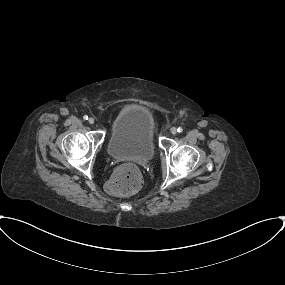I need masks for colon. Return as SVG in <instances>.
<instances>
[{
	"mask_svg": "<svg viewBox=\"0 0 285 285\" xmlns=\"http://www.w3.org/2000/svg\"><path fill=\"white\" fill-rule=\"evenodd\" d=\"M142 185V175L139 169L132 165L118 168L107 182V190L116 195H131Z\"/></svg>",
	"mask_w": 285,
	"mask_h": 285,
	"instance_id": "5ec220e1",
	"label": "colon"
}]
</instances>
